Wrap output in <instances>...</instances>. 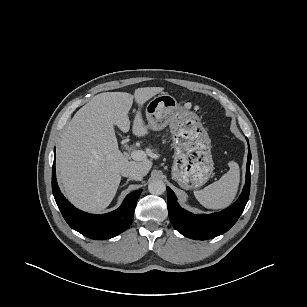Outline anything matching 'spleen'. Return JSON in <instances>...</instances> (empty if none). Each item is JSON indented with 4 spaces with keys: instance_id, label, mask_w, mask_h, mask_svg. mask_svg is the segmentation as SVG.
Listing matches in <instances>:
<instances>
[{
    "instance_id": "spleen-1",
    "label": "spleen",
    "mask_w": 307,
    "mask_h": 307,
    "mask_svg": "<svg viewBox=\"0 0 307 307\" xmlns=\"http://www.w3.org/2000/svg\"><path fill=\"white\" fill-rule=\"evenodd\" d=\"M229 171L218 181L208 185L202 190L194 191L198 202L208 209H223L234 200L240 181L239 165L230 161Z\"/></svg>"
}]
</instances>
